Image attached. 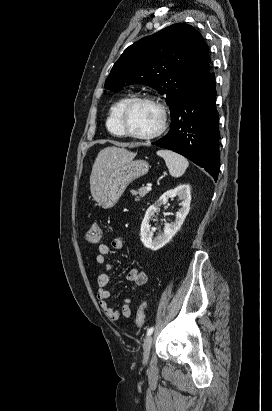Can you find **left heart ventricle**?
<instances>
[{"instance_id": "b2bd125f", "label": "left heart ventricle", "mask_w": 272, "mask_h": 411, "mask_svg": "<svg viewBox=\"0 0 272 411\" xmlns=\"http://www.w3.org/2000/svg\"><path fill=\"white\" fill-rule=\"evenodd\" d=\"M126 127L135 134L145 135L154 132L160 123L156 107L148 103H136L126 115Z\"/></svg>"}]
</instances>
